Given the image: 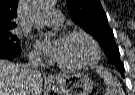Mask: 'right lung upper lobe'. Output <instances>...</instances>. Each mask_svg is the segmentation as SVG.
<instances>
[{
    "label": "right lung upper lobe",
    "mask_w": 135,
    "mask_h": 95,
    "mask_svg": "<svg viewBox=\"0 0 135 95\" xmlns=\"http://www.w3.org/2000/svg\"><path fill=\"white\" fill-rule=\"evenodd\" d=\"M18 0H0V30H11L17 26L13 21L17 17Z\"/></svg>",
    "instance_id": "right-lung-upper-lobe-1"
}]
</instances>
